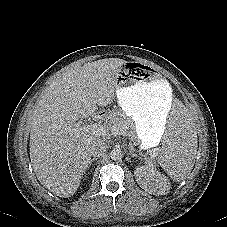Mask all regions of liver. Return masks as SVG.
I'll list each match as a JSON object with an SVG mask.
<instances>
[{
	"instance_id": "6515ba94",
	"label": "liver",
	"mask_w": 227,
	"mask_h": 227,
	"mask_svg": "<svg viewBox=\"0 0 227 227\" xmlns=\"http://www.w3.org/2000/svg\"><path fill=\"white\" fill-rule=\"evenodd\" d=\"M126 63L109 58L74 66L42 93L33 112L30 159L40 183L53 194L68 198L77 191L91 160L90 147L101 135L72 130L78 120L106 107L116 94V77Z\"/></svg>"
}]
</instances>
